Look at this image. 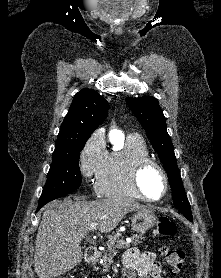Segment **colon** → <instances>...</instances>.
Masks as SVG:
<instances>
[{
	"instance_id": "colon-1",
	"label": "colon",
	"mask_w": 221,
	"mask_h": 278,
	"mask_svg": "<svg viewBox=\"0 0 221 278\" xmlns=\"http://www.w3.org/2000/svg\"><path fill=\"white\" fill-rule=\"evenodd\" d=\"M176 233L175 224L168 217H160L157 221L156 235L159 237H173ZM168 265L172 273L181 272L185 264V252L178 248L164 250Z\"/></svg>"
}]
</instances>
